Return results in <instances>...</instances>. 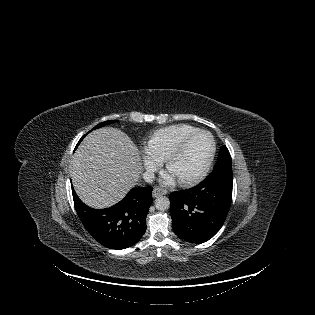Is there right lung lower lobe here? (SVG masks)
<instances>
[{
  "instance_id": "1",
  "label": "right lung lower lobe",
  "mask_w": 315,
  "mask_h": 315,
  "mask_svg": "<svg viewBox=\"0 0 315 315\" xmlns=\"http://www.w3.org/2000/svg\"><path fill=\"white\" fill-rule=\"evenodd\" d=\"M152 187L133 188L107 209L85 205L72 188L77 214L87 231L103 246L125 249L139 241L146 230V215L152 204Z\"/></svg>"
}]
</instances>
